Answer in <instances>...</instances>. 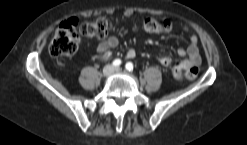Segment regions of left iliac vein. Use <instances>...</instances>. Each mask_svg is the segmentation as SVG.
<instances>
[{"instance_id":"4c4485c4","label":"left iliac vein","mask_w":247,"mask_h":145,"mask_svg":"<svg viewBox=\"0 0 247 145\" xmlns=\"http://www.w3.org/2000/svg\"><path fill=\"white\" fill-rule=\"evenodd\" d=\"M115 71L116 72H120L121 71V68L118 67V68L115 69Z\"/></svg>"}]
</instances>
